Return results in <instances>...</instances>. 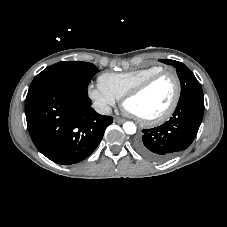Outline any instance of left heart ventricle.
<instances>
[{
  "label": "left heart ventricle",
  "mask_w": 227,
  "mask_h": 227,
  "mask_svg": "<svg viewBox=\"0 0 227 227\" xmlns=\"http://www.w3.org/2000/svg\"><path fill=\"white\" fill-rule=\"evenodd\" d=\"M175 93V83L170 75H164L144 92L129 99L125 107L141 118H154L170 105Z\"/></svg>",
  "instance_id": "left-heart-ventricle-1"
}]
</instances>
